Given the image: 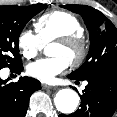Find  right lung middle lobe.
I'll return each mask as SVG.
<instances>
[{"label": "right lung middle lobe", "mask_w": 117, "mask_h": 117, "mask_svg": "<svg viewBox=\"0 0 117 117\" xmlns=\"http://www.w3.org/2000/svg\"><path fill=\"white\" fill-rule=\"evenodd\" d=\"M46 7L45 4L0 6V69L21 64L20 33L27 22Z\"/></svg>", "instance_id": "1"}]
</instances>
